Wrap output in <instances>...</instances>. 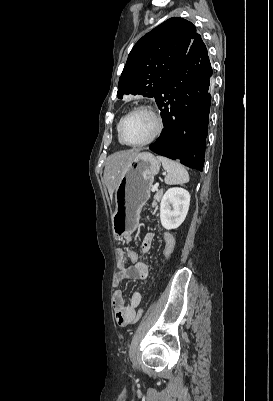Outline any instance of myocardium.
Returning a JSON list of instances; mask_svg holds the SVG:
<instances>
[{
  "mask_svg": "<svg viewBox=\"0 0 273 401\" xmlns=\"http://www.w3.org/2000/svg\"><path fill=\"white\" fill-rule=\"evenodd\" d=\"M136 113H146V114H149L150 116H152L156 122V129H155L154 133L146 140L137 142V143H130V142H127L124 140V138L122 136V127H123L125 120L128 117H130L131 115L136 114ZM164 128H165V124H164V120L161 117V115L152 106L141 105V106H138V107L132 109L131 111H129L128 113H126L124 116L121 117V119L117 125V136H118V139L120 140V142L128 147H142V146L148 145V144L152 143L153 141H155L156 139H158L161 136V134L163 133Z\"/></svg>",
  "mask_w": 273,
  "mask_h": 401,
  "instance_id": "obj_1",
  "label": "myocardium"
}]
</instances>
